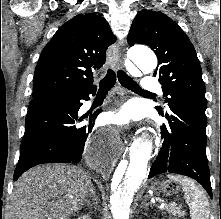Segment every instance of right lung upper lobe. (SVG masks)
Listing matches in <instances>:
<instances>
[{
  "mask_svg": "<svg viewBox=\"0 0 221 219\" xmlns=\"http://www.w3.org/2000/svg\"><path fill=\"white\" fill-rule=\"evenodd\" d=\"M116 37L105 18L79 14L62 25L38 60L32 98L96 89L93 70L106 60Z\"/></svg>",
  "mask_w": 221,
  "mask_h": 219,
  "instance_id": "1",
  "label": "right lung upper lobe"
}]
</instances>
